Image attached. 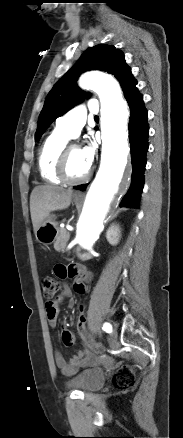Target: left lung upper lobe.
Instances as JSON below:
<instances>
[{"mask_svg":"<svg viewBox=\"0 0 183 438\" xmlns=\"http://www.w3.org/2000/svg\"><path fill=\"white\" fill-rule=\"evenodd\" d=\"M93 69L113 74L123 89L134 78L130 67L125 62L123 52L115 46L100 44L88 48L47 95L38 120L36 141L41 138L55 119L82 102V97L86 94L77 87L76 81L80 74Z\"/></svg>","mask_w":183,"mask_h":438,"instance_id":"5c2ea615","label":"left lung upper lobe"}]
</instances>
